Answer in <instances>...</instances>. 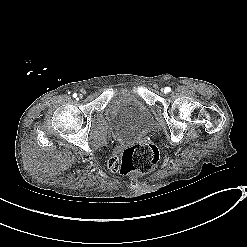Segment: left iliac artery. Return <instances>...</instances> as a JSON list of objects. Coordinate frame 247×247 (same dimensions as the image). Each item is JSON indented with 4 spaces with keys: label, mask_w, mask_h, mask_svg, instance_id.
I'll return each instance as SVG.
<instances>
[{
    "label": "left iliac artery",
    "mask_w": 247,
    "mask_h": 247,
    "mask_svg": "<svg viewBox=\"0 0 247 247\" xmlns=\"http://www.w3.org/2000/svg\"><path fill=\"white\" fill-rule=\"evenodd\" d=\"M171 91V88L170 87H166L165 88V92L169 93Z\"/></svg>",
    "instance_id": "1"
}]
</instances>
